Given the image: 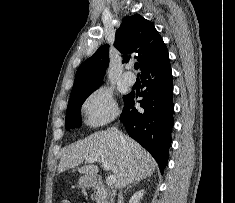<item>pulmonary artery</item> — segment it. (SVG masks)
Returning a JSON list of instances; mask_svg holds the SVG:
<instances>
[{
    "label": "pulmonary artery",
    "instance_id": "e3ab8cb5",
    "mask_svg": "<svg viewBox=\"0 0 235 203\" xmlns=\"http://www.w3.org/2000/svg\"><path fill=\"white\" fill-rule=\"evenodd\" d=\"M128 71L123 74V80L127 85H133L136 82V77L129 71L130 66L127 67Z\"/></svg>",
    "mask_w": 235,
    "mask_h": 203
}]
</instances>
